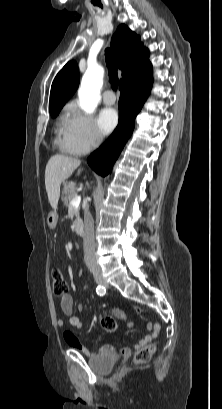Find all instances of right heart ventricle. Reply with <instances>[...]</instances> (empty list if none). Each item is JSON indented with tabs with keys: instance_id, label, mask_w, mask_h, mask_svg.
<instances>
[{
	"instance_id": "obj_1",
	"label": "right heart ventricle",
	"mask_w": 222,
	"mask_h": 409,
	"mask_svg": "<svg viewBox=\"0 0 222 409\" xmlns=\"http://www.w3.org/2000/svg\"><path fill=\"white\" fill-rule=\"evenodd\" d=\"M65 120H66V117H63L60 121V125L57 130V133H58L57 141L66 153L71 154V155H78L79 153L69 143V140L67 138L66 131H65Z\"/></svg>"
}]
</instances>
